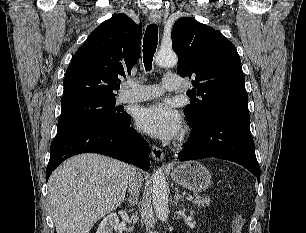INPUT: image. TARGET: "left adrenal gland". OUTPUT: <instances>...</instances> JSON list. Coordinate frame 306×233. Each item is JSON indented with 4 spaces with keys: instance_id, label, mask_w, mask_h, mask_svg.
<instances>
[{
    "instance_id": "obj_1",
    "label": "left adrenal gland",
    "mask_w": 306,
    "mask_h": 233,
    "mask_svg": "<svg viewBox=\"0 0 306 233\" xmlns=\"http://www.w3.org/2000/svg\"><path fill=\"white\" fill-rule=\"evenodd\" d=\"M180 199L183 200L182 196L179 193V189L175 188V196H174L175 203H177Z\"/></svg>"
}]
</instances>
